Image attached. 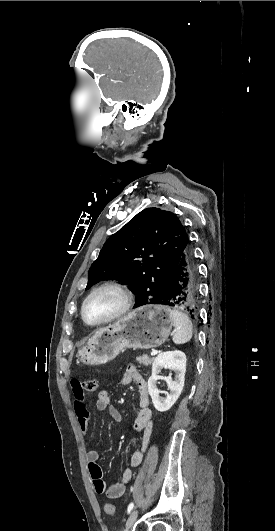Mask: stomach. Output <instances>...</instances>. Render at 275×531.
<instances>
[{"instance_id": "obj_1", "label": "stomach", "mask_w": 275, "mask_h": 531, "mask_svg": "<svg viewBox=\"0 0 275 531\" xmlns=\"http://www.w3.org/2000/svg\"><path fill=\"white\" fill-rule=\"evenodd\" d=\"M173 327L169 301H142L139 309L98 329L76 357L83 365H104L123 349H155L167 341Z\"/></svg>"}]
</instances>
